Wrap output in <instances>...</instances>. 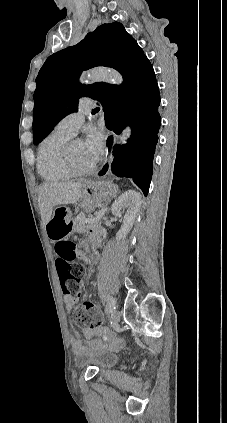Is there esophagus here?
Wrapping results in <instances>:
<instances>
[{
  "mask_svg": "<svg viewBox=\"0 0 227 423\" xmlns=\"http://www.w3.org/2000/svg\"><path fill=\"white\" fill-rule=\"evenodd\" d=\"M114 144H115L114 135L112 133L107 134L105 137V157L99 172L96 174L97 178H105L107 175L110 174L111 163L113 160L112 153H113Z\"/></svg>",
  "mask_w": 227,
  "mask_h": 423,
  "instance_id": "esophagus-1",
  "label": "esophagus"
}]
</instances>
